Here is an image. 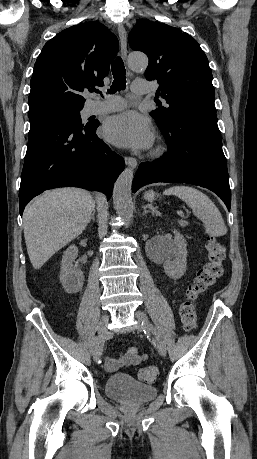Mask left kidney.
Returning a JSON list of instances; mask_svg holds the SVG:
<instances>
[{"label":"left kidney","instance_id":"obj_1","mask_svg":"<svg viewBox=\"0 0 257 459\" xmlns=\"http://www.w3.org/2000/svg\"><path fill=\"white\" fill-rule=\"evenodd\" d=\"M174 240L168 241L162 249L164 271L167 276L177 280L186 272L187 242L183 235L174 230Z\"/></svg>","mask_w":257,"mask_h":459}]
</instances>
